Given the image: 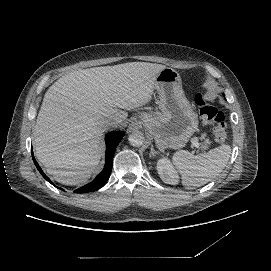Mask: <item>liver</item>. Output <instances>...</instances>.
I'll return each instance as SVG.
<instances>
[{
  "label": "liver",
  "instance_id": "6515ba94",
  "mask_svg": "<svg viewBox=\"0 0 271 271\" xmlns=\"http://www.w3.org/2000/svg\"><path fill=\"white\" fill-rule=\"evenodd\" d=\"M165 65L131 62L73 71L46 92L33 129L35 155L64 184L90 177L100 161L103 117L123 122L150 103Z\"/></svg>",
  "mask_w": 271,
  "mask_h": 271
}]
</instances>
